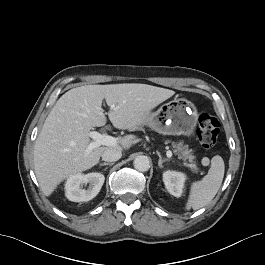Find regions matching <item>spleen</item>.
I'll return each mask as SVG.
<instances>
[{"label": "spleen", "instance_id": "spleen-1", "mask_svg": "<svg viewBox=\"0 0 265 265\" xmlns=\"http://www.w3.org/2000/svg\"><path fill=\"white\" fill-rule=\"evenodd\" d=\"M225 165L221 156L211 159L208 174L201 180L193 182L190 188L186 209H200L209 204L217 194L224 177Z\"/></svg>", "mask_w": 265, "mask_h": 265}]
</instances>
